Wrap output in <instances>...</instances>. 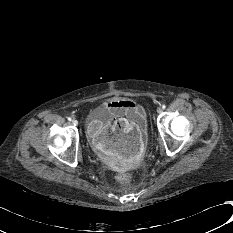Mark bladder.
I'll use <instances>...</instances> for the list:
<instances>
[{"label":"bladder","instance_id":"1","mask_svg":"<svg viewBox=\"0 0 233 233\" xmlns=\"http://www.w3.org/2000/svg\"><path fill=\"white\" fill-rule=\"evenodd\" d=\"M107 115H108V112L105 108H97L94 113H93V116L97 119H99L100 122L102 121H106L107 119Z\"/></svg>","mask_w":233,"mask_h":233}]
</instances>
